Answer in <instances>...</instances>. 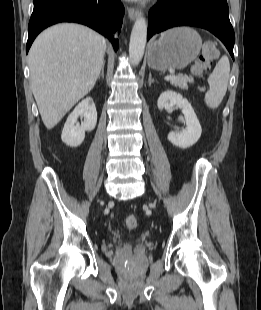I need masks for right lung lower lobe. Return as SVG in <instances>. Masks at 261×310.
I'll list each match as a JSON object with an SVG mask.
<instances>
[{"instance_id": "obj_1", "label": "right lung lower lobe", "mask_w": 261, "mask_h": 310, "mask_svg": "<svg viewBox=\"0 0 261 310\" xmlns=\"http://www.w3.org/2000/svg\"><path fill=\"white\" fill-rule=\"evenodd\" d=\"M34 10L28 26V52L35 37L46 27L59 22L87 25L107 37L118 49L114 33L120 31L124 7L120 0H33Z\"/></svg>"}]
</instances>
